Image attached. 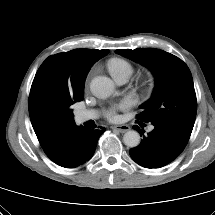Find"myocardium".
<instances>
[{
    "instance_id": "1",
    "label": "myocardium",
    "mask_w": 215,
    "mask_h": 215,
    "mask_svg": "<svg viewBox=\"0 0 215 215\" xmlns=\"http://www.w3.org/2000/svg\"><path fill=\"white\" fill-rule=\"evenodd\" d=\"M139 85L144 91H149L153 85L152 73L147 72L139 77Z\"/></svg>"
}]
</instances>
